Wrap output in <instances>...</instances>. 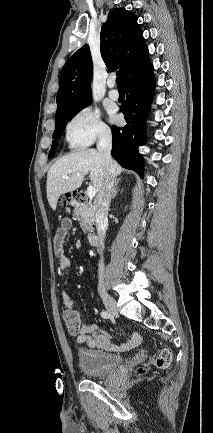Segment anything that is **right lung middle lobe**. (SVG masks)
I'll return each mask as SVG.
<instances>
[{"label":"right lung middle lobe","mask_w":213,"mask_h":433,"mask_svg":"<svg viewBox=\"0 0 213 433\" xmlns=\"http://www.w3.org/2000/svg\"><path fill=\"white\" fill-rule=\"evenodd\" d=\"M90 104H91V100H89V101H87V102H85V103H83L77 107H74L72 109L65 111L59 118H57L55 131L53 133V138H59L60 135L63 133V130H64L66 123L72 117H74L78 112H80L83 108L87 107ZM55 147H56V141L53 140L51 150H50L49 156H48L49 158L54 155Z\"/></svg>","instance_id":"obj_1"}]
</instances>
